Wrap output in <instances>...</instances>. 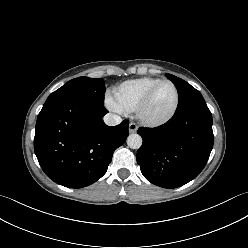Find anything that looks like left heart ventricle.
Segmentation results:
<instances>
[{
    "instance_id": "obj_1",
    "label": "left heart ventricle",
    "mask_w": 248,
    "mask_h": 248,
    "mask_svg": "<svg viewBox=\"0 0 248 248\" xmlns=\"http://www.w3.org/2000/svg\"><path fill=\"white\" fill-rule=\"evenodd\" d=\"M175 92L171 85H161L152 95L144 114L147 118L158 120L167 116L173 108Z\"/></svg>"
}]
</instances>
